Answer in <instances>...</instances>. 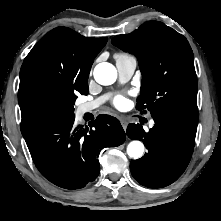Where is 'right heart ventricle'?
<instances>
[{
    "label": "right heart ventricle",
    "mask_w": 221,
    "mask_h": 221,
    "mask_svg": "<svg viewBox=\"0 0 221 221\" xmlns=\"http://www.w3.org/2000/svg\"><path fill=\"white\" fill-rule=\"evenodd\" d=\"M117 56H125V55H121V54H119V55H117Z\"/></svg>",
    "instance_id": "right-heart-ventricle-1"
}]
</instances>
